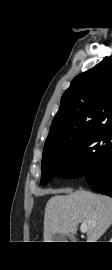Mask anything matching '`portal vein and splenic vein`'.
Segmentation results:
<instances>
[{"mask_svg":"<svg viewBox=\"0 0 112 270\" xmlns=\"http://www.w3.org/2000/svg\"><path fill=\"white\" fill-rule=\"evenodd\" d=\"M81 232L85 233L88 230V224L87 223H82L80 226Z\"/></svg>","mask_w":112,"mask_h":270,"instance_id":"portal-vein-and-splenic-vein-1","label":"portal vein and splenic vein"}]
</instances>
